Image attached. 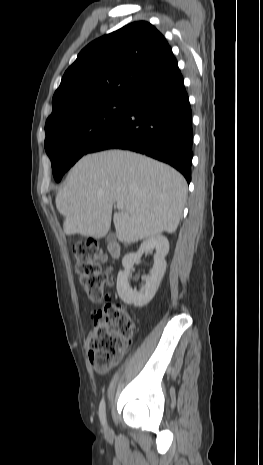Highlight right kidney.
<instances>
[{"instance_id": "right-kidney-1", "label": "right kidney", "mask_w": 263, "mask_h": 465, "mask_svg": "<svg viewBox=\"0 0 263 465\" xmlns=\"http://www.w3.org/2000/svg\"><path fill=\"white\" fill-rule=\"evenodd\" d=\"M151 250H155L156 253L150 274L143 277L145 286L140 291L133 290L128 282L130 270L144 253ZM168 252L169 241L165 236L159 234L145 240L137 252H131L124 256L122 259L124 270L120 271L117 277V292L124 303L140 307L152 300L166 271L165 256Z\"/></svg>"}]
</instances>
